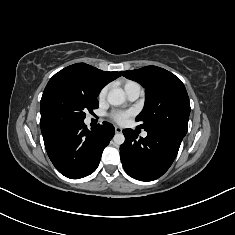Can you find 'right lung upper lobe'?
Listing matches in <instances>:
<instances>
[{
    "label": "right lung upper lobe",
    "mask_w": 235,
    "mask_h": 235,
    "mask_svg": "<svg viewBox=\"0 0 235 235\" xmlns=\"http://www.w3.org/2000/svg\"><path fill=\"white\" fill-rule=\"evenodd\" d=\"M120 76L119 72H105L85 63L70 65L52 78H61L90 97H97L101 89Z\"/></svg>",
    "instance_id": "cb5924a9"
}]
</instances>
